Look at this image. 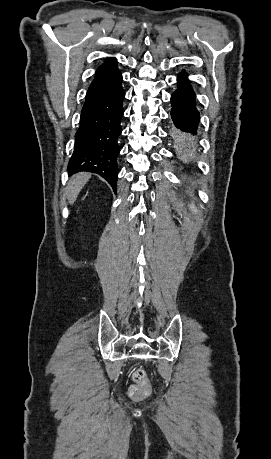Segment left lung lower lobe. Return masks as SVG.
<instances>
[{"label": "left lung lower lobe", "instance_id": "0a47b994", "mask_svg": "<svg viewBox=\"0 0 271 459\" xmlns=\"http://www.w3.org/2000/svg\"><path fill=\"white\" fill-rule=\"evenodd\" d=\"M189 73L183 70L178 74V89L171 96V117L177 128L185 132L197 129L199 113L195 107V92L188 79Z\"/></svg>", "mask_w": 271, "mask_h": 459}]
</instances>
